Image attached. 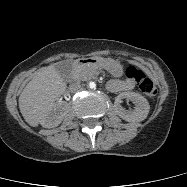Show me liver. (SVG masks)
Here are the masks:
<instances>
[{"label": "liver", "mask_w": 187, "mask_h": 187, "mask_svg": "<svg viewBox=\"0 0 187 187\" xmlns=\"http://www.w3.org/2000/svg\"><path fill=\"white\" fill-rule=\"evenodd\" d=\"M56 64L36 71L19 96V109L25 121L36 127L45 114L53 108L67 88V84L55 68Z\"/></svg>", "instance_id": "liver-1"}]
</instances>
